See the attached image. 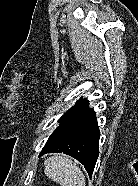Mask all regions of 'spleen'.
<instances>
[{"label": "spleen", "mask_w": 138, "mask_h": 186, "mask_svg": "<svg viewBox=\"0 0 138 186\" xmlns=\"http://www.w3.org/2000/svg\"><path fill=\"white\" fill-rule=\"evenodd\" d=\"M45 174L52 181L61 186H85L86 180L83 172L67 156L56 155L44 161Z\"/></svg>", "instance_id": "1"}]
</instances>
